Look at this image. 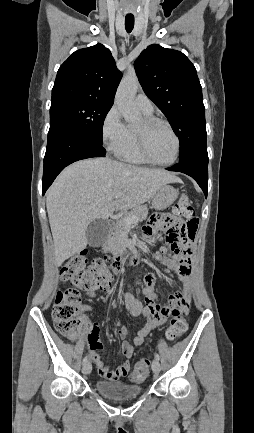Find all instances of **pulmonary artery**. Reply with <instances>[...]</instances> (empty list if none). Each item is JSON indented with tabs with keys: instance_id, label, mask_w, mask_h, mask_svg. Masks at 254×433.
Masks as SVG:
<instances>
[{
	"instance_id": "e3ab8cb5",
	"label": "pulmonary artery",
	"mask_w": 254,
	"mask_h": 433,
	"mask_svg": "<svg viewBox=\"0 0 254 433\" xmlns=\"http://www.w3.org/2000/svg\"><path fill=\"white\" fill-rule=\"evenodd\" d=\"M135 104L142 113L148 115L153 113V103L145 94H138L135 99Z\"/></svg>"
}]
</instances>
